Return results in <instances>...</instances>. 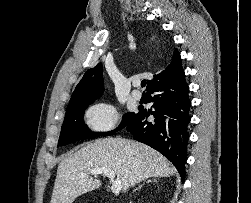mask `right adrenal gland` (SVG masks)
<instances>
[{
	"label": "right adrenal gland",
	"mask_w": 251,
	"mask_h": 203,
	"mask_svg": "<svg viewBox=\"0 0 251 203\" xmlns=\"http://www.w3.org/2000/svg\"><path fill=\"white\" fill-rule=\"evenodd\" d=\"M150 182H157L156 181V179L154 178L153 180H147L146 182H144L143 184H141V185H139V187L138 188H136V189H134L133 190V192H135L136 190H138V189H141L142 188V186H144L145 185V183H150Z\"/></svg>",
	"instance_id": "2a0ac1e0"
}]
</instances>
